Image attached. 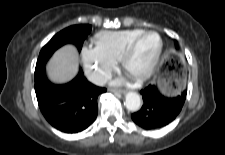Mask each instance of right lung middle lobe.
Here are the masks:
<instances>
[{
  "label": "right lung middle lobe",
  "mask_w": 225,
  "mask_h": 155,
  "mask_svg": "<svg viewBox=\"0 0 225 155\" xmlns=\"http://www.w3.org/2000/svg\"><path fill=\"white\" fill-rule=\"evenodd\" d=\"M90 25H74L70 26L56 35L42 48L37 64L36 71L42 68L51 55L61 46L72 43L75 44L80 51L87 35L91 32Z\"/></svg>",
  "instance_id": "obj_1"
}]
</instances>
